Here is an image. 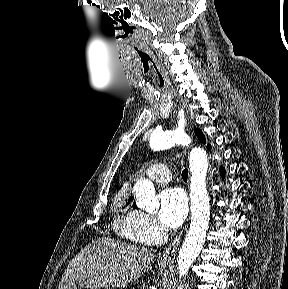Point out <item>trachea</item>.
<instances>
[{
    "mask_svg": "<svg viewBox=\"0 0 288 289\" xmlns=\"http://www.w3.org/2000/svg\"><path fill=\"white\" fill-rule=\"evenodd\" d=\"M138 53H139V58L141 59L144 71H147L156 77L162 78V74L159 71L157 64H156V61L153 58V56L151 54H149L148 52H145V51L138 52ZM182 178L184 180L188 179V170L187 169H184L182 171Z\"/></svg>",
    "mask_w": 288,
    "mask_h": 289,
    "instance_id": "3493384b",
    "label": "trachea"
}]
</instances>
